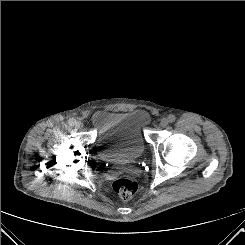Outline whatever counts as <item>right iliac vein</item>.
I'll return each mask as SVG.
<instances>
[{
	"instance_id": "1",
	"label": "right iliac vein",
	"mask_w": 245,
	"mask_h": 245,
	"mask_svg": "<svg viewBox=\"0 0 245 245\" xmlns=\"http://www.w3.org/2000/svg\"><path fill=\"white\" fill-rule=\"evenodd\" d=\"M76 127H77V128H82V127H83V123H82L81 121H78V122L76 123Z\"/></svg>"
}]
</instances>
